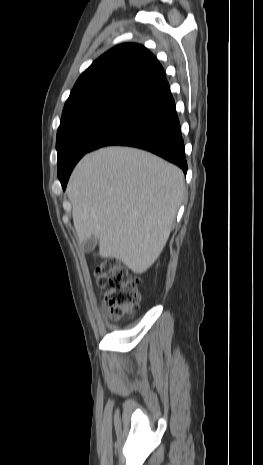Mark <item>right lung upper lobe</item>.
<instances>
[{
    "instance_id": "right-lung-upper-lobe-1",
    "label": "right lung upper lobe",
    "mask_w": 263,
    "mask_h": 465,
    "mask_svg": "<svg viewBox=\"0 0 263 465\" xmlns=\"http://www.w3.org/2000/svg\"><path fill=\"white\" fill-rule=\"evenodd\" d=\"M166 82L156 57L139 44H122L104 53L79 77L63 112L104 97L141 95Z\"/></svg>"
}]
</instances>
